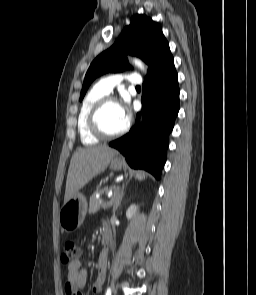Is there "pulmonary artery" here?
<instances>
[{"instance_id":"1","label":"pulmonary artery","mask_w":256,"mask_h":295,"mask_svg":"<svg viewBox=\"0 0 256 295\" xmlns=\"http://www.w3.org/2000/svg\"><path fill=\"white\" fill-rule=\"evenodd\" d=\"M124 80H127L133 85H140L142 83L140 74L133 72L127 75L114 74L106 76L98 81L97 87L105 94H109L116 85L120 84Z\"/></svg>"}]
</instances>
